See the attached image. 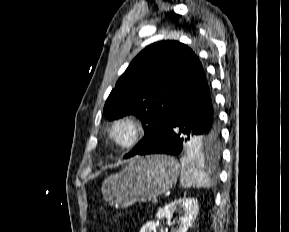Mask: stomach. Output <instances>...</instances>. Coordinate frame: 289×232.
<instances>
[{"label": "stomach", "mask_w": 289, "mask_h": 232, "mask_svg": "<svg viewBox=\"0 0 289 232\" xmlns=\"http://www.w3.org/2000/svg\"><path fill=\"white\" fill-rule=\"evenodd\" d=\"M179 164L167 155L134 158L121 172L108 177L102 185L104 199L116 208L147 202L173 187Z\"/></svg>", "instance_id": "0dacf381"}]
</instances>
